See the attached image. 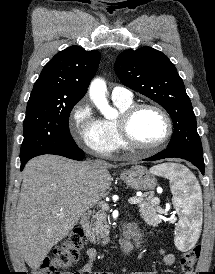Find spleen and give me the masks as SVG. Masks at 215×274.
Segmentation results:
<instances>
[{
  "mask_svg": "<svg viewBox=\"0 0 215 274\" xmlns=\"http://www.w3.org/2000/svg\"><path fill=\"white\" fill-rule=\"evenodd\" d=\"M150 171L170 180L172 203L180 220L175 229V242L178 246L194 244L201 231V218L198 209L202 204V192L196 177L186 167L165 163L154 166Z\"/></svg>",
  "mask_w": 215,
  "mask_h": 274,
  "instance_id": "spleen-1",
  "label": "spleen"
}]
</instances>
